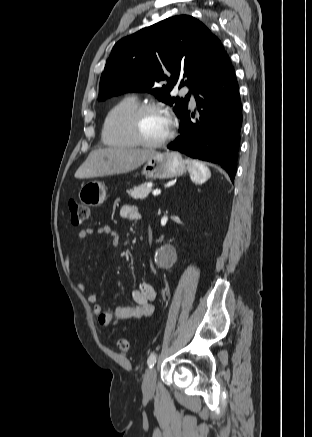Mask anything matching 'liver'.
<instances>
[{
  "instance_id": "1",
  "label": "liver",
  "mask_w": 312,
  "mask_h": 437,
  "mask_svg": "<svg viewBox=\"0 0 312 437\" xmlns=\"http://www.w3.org/2000/svg\"><path fill=\"white\" fill-rule=\"evenodd\" d=\"M156 152L148 149L109 147L91 151L75 173L76 178L123 174L137 169Z\"/></svg>"
}]
</instances>
